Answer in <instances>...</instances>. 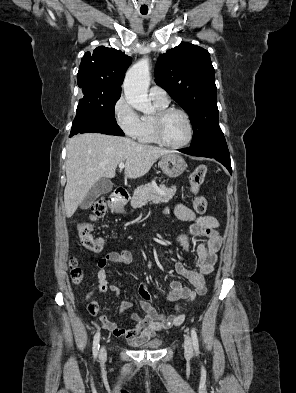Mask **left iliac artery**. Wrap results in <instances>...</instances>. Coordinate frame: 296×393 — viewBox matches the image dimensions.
<instances>
[{
    "instance_id": "obj_1",
    "label": "left iliac artery",
    "mask_w": 296,
    "mask_h": 393,
    "mask_svg": "<svg viewBox=\"0 0 296 393\" xmlns=\"http://www.w3.org/2000/svg\"><path fill=\"white\" fill-rule=\"evenodd\" d=\"M191 337H192L194 350L196 353H198L199 352L198 337H197V333L194 328H192V330H191Z\"/></svg>"
}]
</instances>
